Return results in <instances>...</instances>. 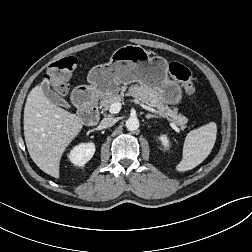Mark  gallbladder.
I'll list each match as a JSON object with an SVG mask.
<instances>
[{"instance_id": "obj_1", "label": "gallbladder", "mask_w": 252, "mask_h": 252, "mask_svg": "<svg viewBox=\"0 0 252 252\" xmlns=\"http://www.w3.org/2000/svg\"><path fill=\"white\" fill-rule=\"evenodd\" d=\"M43 92L47 99H49L55 105L69 108L70 105L63 98H61L56 92L51 90L48 86H43Z\"/></svg>"}]
</instances>
